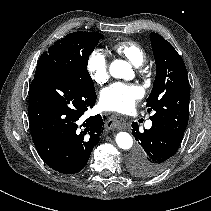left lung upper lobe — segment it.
Listing matches in <instances>:
<instances>
[{
	"mask_svg": "<svg viewBox=\"0 0 211 211\" xmlns=\"http://www.w3.org/2000/svg\"><path fill=\"white\" fill-rule=\"evenodd\" d=\"M156 77L147 99V111H154L152 123H159L184 135L189 118L190 89L183 59L173 46L157 33H151Z\"/></svg>",
	"mask_w": 211,
	"mask_h": 211,
	"instance_id": "1",
	"label": "left lung upper lobe"
}]
</instances>
